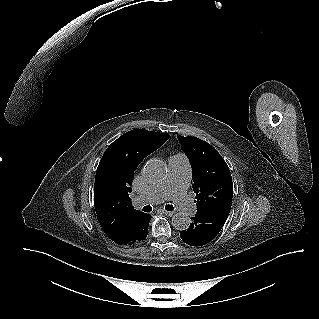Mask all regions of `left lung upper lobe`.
<instances>
[{
  "mask_svg": "<svg viewBox=\"0 0 319 319\" xmlns=\"http://www.w3.org/2000/svg\"><path fill=\"white\" fill-rule=\"evenodd\" d=\"M193 170L197 212L229 213L233 183L228 165L209 143L196 137L177 135Z\"/></svg>",
  "mask_w": 319,
  "mask_h": 319,
  "instance_id": "obj_1",
  "label": "left lung upper lobe"
}]
</instances>
